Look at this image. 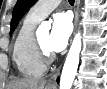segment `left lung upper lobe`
Segmentation results:
<instances>
[{
    "label": "left lung upper lobe",
    "instance_id": "5c2ea615",
    "mask_svg": "<svg viewBox=\"0 0 107 89\" xmlns=\"http://www.w3.org/2000/svg\"><path fill=\"white\" fill-rule=\"evenodd\" d=\"M37 0H17V3L13 9L11 30L12 33L23 15L36 3Z\"/></svg>",
    "mask_w": 107,
    "mask_h": 89
}]
</instances>
